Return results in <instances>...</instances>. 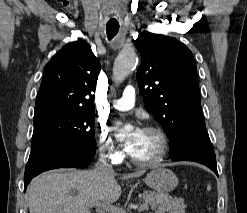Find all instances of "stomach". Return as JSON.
Here are the masks:
<instances>
[{"label":"stomach","mask_w":247,"mask_h":213,"mask_svg":"<svg viewBox=\"0 0 247 213\" xmlns=\"http://www.w3.org/2000/svg\"><path fill=\"white\" fill-rule=\"evenodd\" d=\"M144 181L158 193L170 192L178 185V178L174 172L164 167H157L151 170Z\"/></svg>","instance_id":"0dacf381"}]
</instances>
